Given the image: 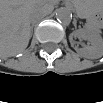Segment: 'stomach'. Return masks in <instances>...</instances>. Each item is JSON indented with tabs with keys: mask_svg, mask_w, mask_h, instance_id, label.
<instances>
[{
	"mask_svg": "<svg viewBox=\"0 0 103 103\" xmlns=\"http://www.w3.org/2000/svg\"><path fill=\"white\" fill-rule=\"evenodd\" d=\"M93 5H94V4L89 3V2H83V3L80 4V6H83V7L87 8V9H89V8L92 7Z\"/></svg>",
	"mask_w": 103,
	"mask_h": 103,
	"instance_id": "obj_1",
	"label": "stomach"
}]
</instances>
